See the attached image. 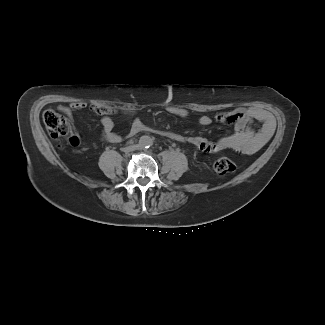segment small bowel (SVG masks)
Segmentation results:
<instances>
[{
  "label": "small bowel",
  "instance_id": "1",
  "mask_svg": "<svg viewBox=\"0 0 325 325\" xmlns=\"http://www.w3.org/2000/svg\"><path fill=\"white\" fill-rule=\"evenodd\" d=\"M87 107L84 102H75L69 106H63L60 109L68 116L76 111L83 110ZM93 111L101 117L102 136L101 140L110 143H120L123 137L114 131V122L111 115L115 110L110 106L95 105ZM170 115L180 118L189 116V111L182 107L169 106L166 108ZM126 113H133L132 109H125ZM217 122L234 124V132L230 135L221 137L217 140H211L202 136H186L179 133L170 132L168 137L174 141L184 144H190L203 152L219 153L227 150L234 151L240 154H251L262 148L271 138L275 123L273 116L261 108L248 107L237 108L218 114L214 118ZM258 121L261 123V128L257 131L251 128V123ZM213 122V118L208 115H202L198 118V125L205 127ZM146 127L139 120H134L127 132V137L132 138L141 132H144ZM74 146L79 145V138L74 135Z\"/></svg>",
  "mask_w": 325,
  "mask_h": 325
}]
</instances>
